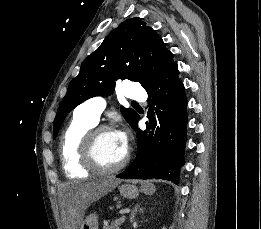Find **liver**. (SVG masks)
<instances>
[{"mask_svg":"<svg viewBox=\"0 0 261 229\" xmlns=\"http://www.w3.org/2000/svg\"><path fill=\"white\" fill-rule=\"evenodd\" d=\"M121 179H113V177H103V179H95L90 183H74L72 187H68L65 197V201H68L66 205L67 217H64L66 221L65 227L67 229H79L83 217L84 211L87 207H90L94 201H99L104 195L112 193L115 187L120 185Z\"/></svg>","mask_w":261,"mask_h":229,"instance_id":"6515ba94","label":"liver"}]
</instances>
